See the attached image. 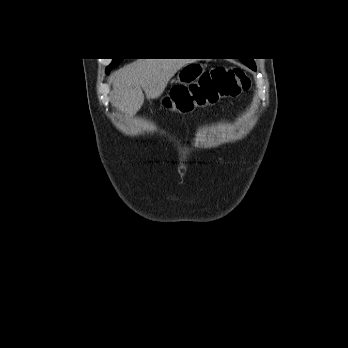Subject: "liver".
I'll use <instances>...</instances> for the list:
<instances>
[{
	"label": "liver",
	"instance_id": "obj_1",
	"mask_svg": "<svg viewBox=\"0 0 348 348\" xmlns=\"http://www.w3.org/2000/svg\"><path fill=\"white\" fill-rule=\"evenodd\" d=\"M187 59H138L115 73L113 95L121 110L135 114L148 99H157Z\"/></svg>",
	"mask_w": 348,
	"mask_h": 348
}]
</instances>
